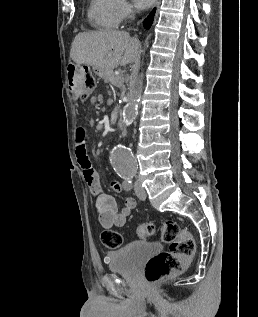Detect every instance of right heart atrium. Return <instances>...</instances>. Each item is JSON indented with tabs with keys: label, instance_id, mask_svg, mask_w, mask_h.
Here are the masks:
<instances>
[{
	"label": "right heart atrium",
	"instance_id": "1",
	"mask_svg": "<svg viewBox=\"0 0 258 317\" xmlns=\"http://www.w3.org/2000/svg\"><path fill=\"white\" fill-rule=\"evenodd\" d=\"M132 14V7L127 0H119L118 3V15L120 22H124L130 18Z\"/></svg>",
	"mask_w": 258,
	"mask_h": 317
}]
</instances>
